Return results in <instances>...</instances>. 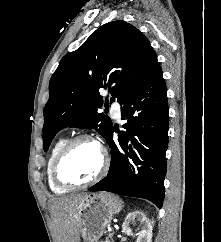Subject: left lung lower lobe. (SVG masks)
<instances>
[{"label": "left lung lower lobe", "mask_w": 221, "mask_h": 242, "mask_svg": "<svg viewBox=\"0 0 221 242\" xmlns=\"http://www.w3.org/2000/svg\"><path fill=\"white\" fill-rule=\"evenodd\" d=\"M121 105L126 131L119 132L115 143L112 127L106 137L111 148L108 175L89 190L144 198L161 208L169 129L167 89L161 67L129 93Z\"/></svg>", "instance_id": "0a47b994"}]
</instances>
